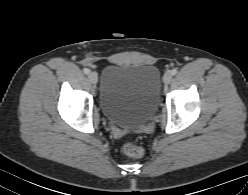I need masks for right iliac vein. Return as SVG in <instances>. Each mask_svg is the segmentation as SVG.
<instances>
[{"mask_svg": "<svg viewBox=\"0 0 248 195\" xmlns=\"http://www.w3.org/2000/svg\"><path fill=\"white\" fill-rule=\"evenodd\" d=\"M88 78H89L90 82L94 83V84L97 83V81H98V75L96 72H90L88 74Z\"/></svg>", "mask_w": 248, "mask_h": 195, "instance_id": "obj_1", "label": "right iliac vein"}]
</instances>
